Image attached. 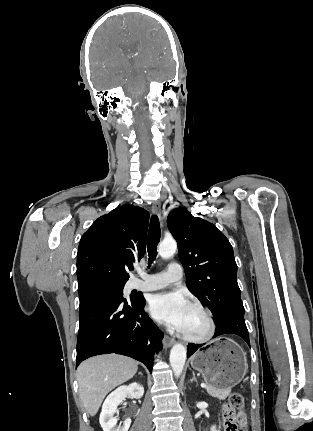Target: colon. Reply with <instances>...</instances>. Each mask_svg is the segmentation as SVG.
Returning <instances> with one entry per match:
<instances>
[{
	"label": "colon",
	"instance_id": "obj_1",
	"mask_svg": "<svg viewBox=\"0 0 313 431\" xmlns=\"http://www.w3.org/2000/svg\"><path fill=\"white\" fill-rule=\"evenodd\" d=\"M244 408L243 396L238 392H233L228 397V402L223 408V417L226 419V431H238L237 425L232 420L233 415L238 410Z\"/></svg>",
	"mask_w": 313,
	"mask_h": 431
}]
</instances>
